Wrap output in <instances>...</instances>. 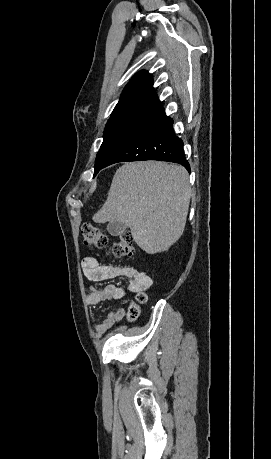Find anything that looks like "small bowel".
<instances>
[{"instance_id": "small-bowel-1", "label": "small bowel", "mask_w": 271, "mask_h": 459, "mask_svg": "<svg viewBox=\"0 0 271 459\" xmlns=\"http://www.w3.org/2000/svg\"><path fill=\"white\" fill-rule=\"evenodd\" d=\"M82 270L86 278L91 282H100L122 277L128 278V285L126 288L118 287L114 284H108L101 289L91 286L89 293L86 295V303L88 305L118 300L123 298L127 292H142L151 284V279L144 272L138 271L130 266L102 265L94 256H88L83 259ZM124 316V308H118L116 311L111 312L103 322L96 326L95 335H103L117 322L121 321Z\"/></svg>"}]
</instances>
